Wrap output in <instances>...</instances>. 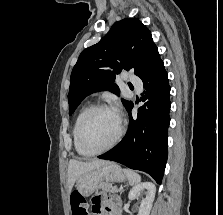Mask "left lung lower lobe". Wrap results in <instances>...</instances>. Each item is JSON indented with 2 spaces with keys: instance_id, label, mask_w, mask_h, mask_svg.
Listing matches in <instances>:
<instances>
[{
  "instance_id": "1",
  "label": "left lung lower lobe",
  "mask_w": 223,
  "mask_h": 215,
  "mask_svg": "<svg viewBox=\"0 0 223 215\" xmlns=\"http://www.w3.org/2000/svg\"><path fill=\"white\" fill-rule=\"evenodd\" d=\"M141 80L146 89L142 100L146 103L138 109L136 119L130 117L128 131L122 141L98 158L144 171L160 184L168 156L167 129L171 106L170 86L163 61H159ZM132 107L133 103L127 108L129 115Z\"/></svg>"
}]
</instances>
